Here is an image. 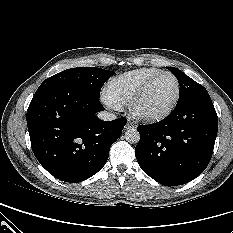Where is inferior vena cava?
I'll list each match as a JSON object with an SVG mask.
<instances>
[{
	"label": "inferior vena cava",
	"instance_id": "obj_1",
	"mask_svg": "<svg viewBox=\"0 0 233 233\" xmlns=\"http://www.w3.org/2000/svg\"><path fill=\"white\" fill-rule=\"evenodd\" d=\"M98 117L101 120L111 121L116 119V115L107 111H101L98 113Z\"/></svg>",
	"mask_w": 233,
	"mask_h": 233
}]
</instances>
